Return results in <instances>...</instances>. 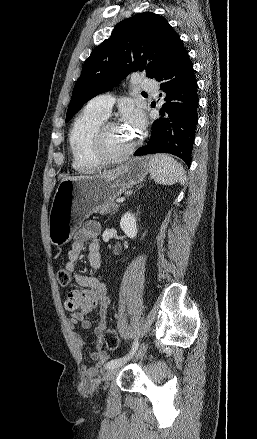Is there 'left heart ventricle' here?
I'll return each instance as SVG.
<instances>
[{"label":"left heart ventricle","mask_w":257,"mask_h":439,"mask_svg":"<svg viewBox=\"0 0 257 439\" xmlns=\"http://www.w3.org/2000/svg\"><path fill=\"white\" fill-rule=\"evenodd\" d=\"M104 140L108 153L117 154L131 145L135 138L121 125H115L105 130Z\"/></svg>","instance_id":"b2bd125f"}]
</instances>
